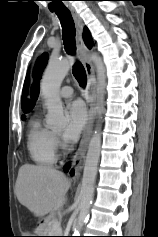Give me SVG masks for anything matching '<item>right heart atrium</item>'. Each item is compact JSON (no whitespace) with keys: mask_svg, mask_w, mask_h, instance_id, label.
<instances>
[{"mask_svg":"<svg viewBox=\"0 0 158 237\" xmlns=\"http://www.w3.org/2000/svg\"><path fill=\"white\" fill-rule=\"evenodd\" d=\"M54 140H55L56 147H59L60 146V141H59V138L56 135H54Z\"/></svg>","mask_w":158,"mask_h":237,"instance_id":"right-heart-atrium-1","label":"right heart atrium"}]
</instances>
